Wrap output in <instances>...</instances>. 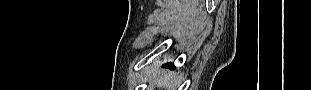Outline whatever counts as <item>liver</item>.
<instances>
[{"label":"liver","mask_w":311,"mask_h":90,"mask_svg":"<svg viewBox=\"0 0 311 90\" xmlns=\"http://www.w3.org/2000/svg\"><path fill=\"white\" fill-rule=\"evenodd\" d=\"M156 84L158 86H162L165 88H168V90H173L176 86V79L171 74H165V72H162V75H159L156 79Z\"/></svg>","instance_id":"obj_1"}]
</instances>
